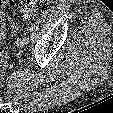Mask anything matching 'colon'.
Returning <instances> with one entry per match:
<instances>
[{
	"label": "colon",
	"mask_w": 113,
	"mask_h": 113,
	"mask_svg": "<svg viewBox=\"0 0 113 113\" xmlns=\"http://www.w3.org/2000/svg\"><path fill=\"white\" fill-rule=\"evenodd\" d=\"M17 0H0V3L3 5H8ZM37 0H25L21 5V11L25 16H28L32 13L36 7ZM6 60V56L3 53H0V67Z\"/></svg>",
	"instance_id": "5ec220e1"
}]
</instances>
